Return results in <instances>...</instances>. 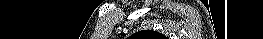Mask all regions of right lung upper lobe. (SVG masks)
<instances>
[{
    "mask_svg": "<svg viewBox=\"0 0 263 39\" xmlns=\"http://www.w3.org/2000/svg\"><path fill=\"white\" fill-rule=\"evenodd\" d=\"M143 32H146V34L150 35V36L161 37V34L156 32V31L146 30V31H143Z\"/></svg>",
    "mask_w": 263,
    "mask_h": 39,
    "instance_id": "obj_1",
    "label": "right lung upper lobe"
}]
</instances>
